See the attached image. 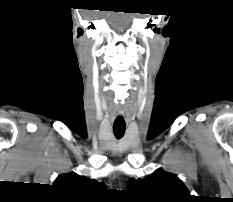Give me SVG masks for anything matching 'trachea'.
Instances as JSON below:
<instances>
[{"mask_svg":"<svg viewBox=\"0 0 233 202\" xmlns=\"http://www.w3.org/2000/svg\"><path fill=\"white\" fill-rule=\"evenodd\" d=\"M126 130L125 125H113V132L117 138H121Z\"/></svg>","mask_w":233,"mask_h":202,"instance_id":"obj_1","label":"trachea"}]
</instances>
